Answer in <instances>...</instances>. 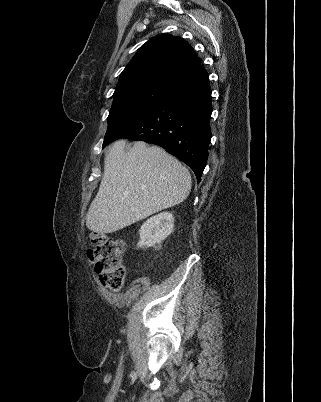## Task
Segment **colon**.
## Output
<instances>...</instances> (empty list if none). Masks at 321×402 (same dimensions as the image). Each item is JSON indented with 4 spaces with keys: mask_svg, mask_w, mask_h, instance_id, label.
<instances>
[{
    "mask_svg": "<svg viewBox=\"0 0 321 402\" xmlns=\"http://www.w3.org/2000/svg\"><path fill=\"white\" fill-rule=\"evenodd\" d=\"M123 252L121 240L102 232L91 235L88 257L94 263L101 285L112 291L120 290L126 279L127 268L123 261Z\"/></svg>",
    "mask_w": 321,
    "mask_h": 402,
    "instance_id": "colon-1",
    "label": "colon"
}]
</instances>
